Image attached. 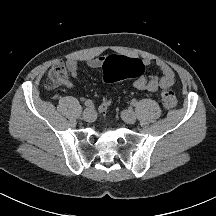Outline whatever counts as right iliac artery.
Masks as SVG:
<instances>
[{"mask_svg": "<svg viewBox=\"0 0 216 216\" xmlns=\"http://www.w3.org/2000/svg\"><path fill=\"white\" fill-rule=\"evenodd\" d=\"M85 106L86 107H93L94 104H93V102L91 100H87V101H85Z\"/></svg>", "mask_w": 216, "mask_h": 216, "instance_id": "obj_1", "label": "right iliac artery"}]
</instances>
